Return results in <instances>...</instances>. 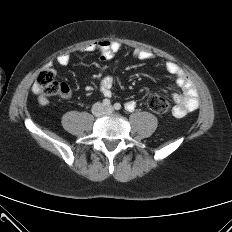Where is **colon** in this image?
Returning a JSON list of instances; mask_svg holds the SVG:
<instances>
[{"label":"colon","mask_w":232,"mask_h":232,"mask_svg":"<svg viewBox=\"0 0 232 232\" xmlns=\"http://www.w3.org/2000/svg\"><path fill=\"white\" fill-rule=\"evenodd\" d=\"M35 86L39 94L44 97L55 96L64 92V87L55 80L54 72L50 68L43 69L39 72ZM147 104L149 109L156 114L165 115L170 111V103L168 100L155 93L148 97Z\"/></svg>","instance_id":"1"}]
</instances>
